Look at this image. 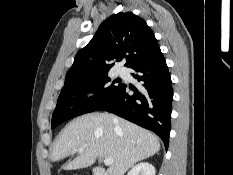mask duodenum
<instances>
[{"mask_svg": "<svg viewBox=\"0 0 233 175\" xmlns=\"http://www.w3.org/2000/svg\"><path fill=\"white\" fill-rule=\"evenodd\" d=\"M94 175H109L108 172L101 167H94Z\"/></svg>", "mask_w": 233, "mask_h": 175, "instance_id": "1", "label": "duodenum"}]
</instances>
